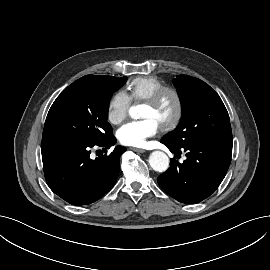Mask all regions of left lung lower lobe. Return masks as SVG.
Returning a JSON list of instances; mask_svg holds the SVG:
<instances>
[{
	"mask_svg": "<svg viewBox=\"0 0 270 270\" xmlns=\"http://www.w3.org/2000/svg\"><path fill=\"white\" fill-rule=\"evenodd\" d=\"M171 152H186V160H170V168L158 177L164 192L179 202L192 204L209 197L224 179L231 161L232 142L198 139L176 147L164 139Z\"/></svg>",
	"mask_w": 270,
	"mask_h": 270,
	"instance_id": "obj_1",
	"label": "left lung lower lobe"
}]
</instances>
